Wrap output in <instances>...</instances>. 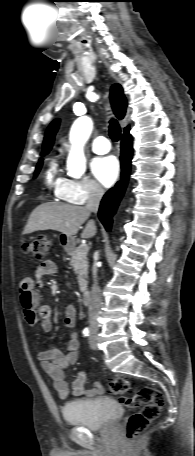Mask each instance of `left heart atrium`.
Returning a JSON list of instances; mask_svg holds the SVG:
<instances>
[{
    "instance_id": "39dd6f15",
    "label": "left heart atrium",
    "mask_w": 195,
    "mask_h": 456,
    "mask_svg": "<svg viewBox=\"0 0 195 456\" xmlns=\"http://www.w3.org/2000/svg\"><path fill=\"white\" fill-rule=\"evenodd\" d=\"M94 177L105 187H109L117 180L120 166L115 156L109 155L95 158L91 163Z\"/></svg>"
}]
</instances>
